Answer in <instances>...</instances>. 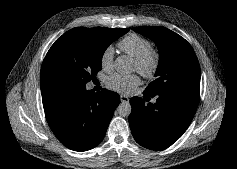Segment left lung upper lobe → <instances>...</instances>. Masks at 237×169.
Here are the masks:
<instances>
[{
	"label": "left lung upper lobe",
	"instance_id": "1",
	"mask_svg": "<svg viewBox=\"0 0 237 169\" xmlns=\"http://www.w3.org/2000/svg\"><path fill=\"white\" fill-rule=\"evenodd\" d=\"M152 39L159 49L156 79L144 93L154 96L168 90L200 91V68L191 45L177 33L165 27H135Z\"/></svg>",
	"mask_w": 237,
	"mask_h": 169
}]
</instances>
